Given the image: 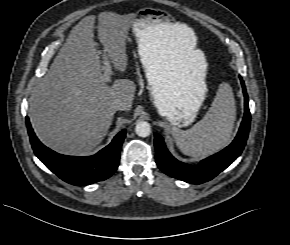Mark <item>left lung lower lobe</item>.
<instances>
[{
	"mask_svg": "<svg viewBox=\"0 0 290 245\" xmlns=\"http://www.w3.org/2000/svg\"><path fill=\"white\" fill-rule=\"evenodd\" d=\"M240 80L244 93V118L234 141L219 153L202 160L198 165L185 164L169 153L163 138L155 133L156 163L165 174L188 183L201 184L213 179L241 154L248 137L251 114L245 84Z\"/></svg>",
	"mask_w": 290,
	"mask_h": 245,
	"instance_id": "left-lung-lower-lobe-1",
	"label": "left lung lower lobe"
}]
</instances>
